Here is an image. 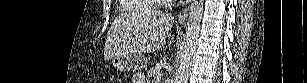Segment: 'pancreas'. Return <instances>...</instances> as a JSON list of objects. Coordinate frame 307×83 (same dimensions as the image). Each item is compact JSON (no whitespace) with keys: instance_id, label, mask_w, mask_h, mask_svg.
<instances>
[{"instance_id":"pancreas-1","label":"pancreas","mask_w":307,"mask_h":83,"mask_svg":"<svg viewBox=\"0 0 307 83\" xmlns=\"http://www.w3.org/2000/svg\"><path fill=\"white\" fill-rule=\"evenodd\" d=\"M159 73H161L160 65L154 66L147 71V75L150 78H155Z\"/></svg>"}]
</instances>
